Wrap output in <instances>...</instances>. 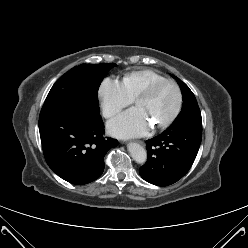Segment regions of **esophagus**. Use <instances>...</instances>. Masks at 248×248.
<instances>
[{"instance_id": "34e87169", "label": "esophagus", "mask_w": 248, "mask_h": 248, "mask_svg": "<svg viewBox=\"0 0 248 248\" xmlns=\"http://www.w3.org/2000/svg\"><path fill=\"white\" fill-rule=\"evenodd\" d=\"M137 142L140 144H144V142L142 140H137Z\"/></svg>"}]
</instances>
